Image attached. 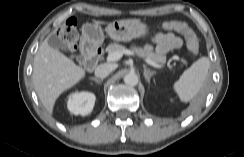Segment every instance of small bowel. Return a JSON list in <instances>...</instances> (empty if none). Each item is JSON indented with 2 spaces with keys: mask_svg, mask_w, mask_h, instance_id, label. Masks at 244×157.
<instances>
[{
  "mask_svg": "<svg viewBox=\"0 0 244 157\" xmlns=\"http://www.w3.org/2000/svg\"><path fill=\"white\" fill-rule=\"evenodd\" d=\"M152 42L154 44V47L146 46L142 50L143 53H149L152 50H155L157 54L163 55L169 52L170 50L178 49L182 46V39L173 33L156 34L153 37Z\"/></svg>",
  "mask_w": 244,
  "mask_h": 157,
  "instance_id": "c3829d8e",
  "label": "small bowel"
}]
</instances>
